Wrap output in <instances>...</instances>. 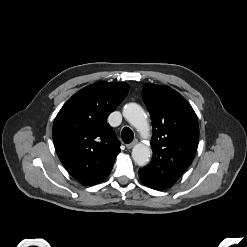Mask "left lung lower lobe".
Wrapping results in <instances>:
<instances>
[{
	"label": "left lung lower lobe",
	"mask_w": 247,
	"mask_h": 247,
	"mask_svg": "<svg viewBox=\"0 0 247 247\" xmlns=\"http://www.w3.org/2000/svg\"><path fill=\"white\" fill-rule=\"evenodd\" d=\"M139 178L144 185H146L152 189L163 190V189L169 188V186H167L165 183H163L160 180L146 174L145 172H143L141 170H139Z\"/></svg>",
	"instance_id": "obj_1"
}]
</instances>
